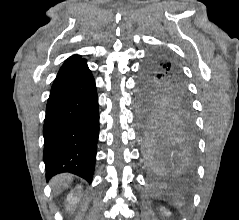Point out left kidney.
<instances>
[{"label":"left kidney","mask_w":239,"mask_h":220,"mask_svg":"<svg viewBox=\"0 0 239 220\" xmlns=\"http://www.w3.org/2000/svg\"><path fill=\"white\" fill-rule=\"evenodd\" d=\"M160 211H161L162 215L165 216V217L171 216V212L164 207H161Z\"/></svg>","instance_id":"left-kidney-1"}]
</instances>
